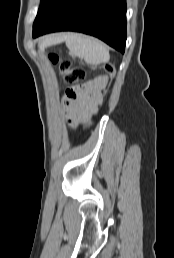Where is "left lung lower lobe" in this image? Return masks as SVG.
<instances>
[{
    "label": "left lung lower lobe",
    "instance_id": "left-lung-lower-lobe-1",
    "mask_svg": "<svg viewBox=\"0 0 174 258\" xmlns=\"http://www.w3.org/2000/svg\"><path fill=\"white\" fill-rule=\"evenodd\" d=\"M55 31L93 35L124 53L126 0H57L33 37Z\"/></svg>",
    "mask_w": 174,
    "mask_h": 258
}]
</instances>
